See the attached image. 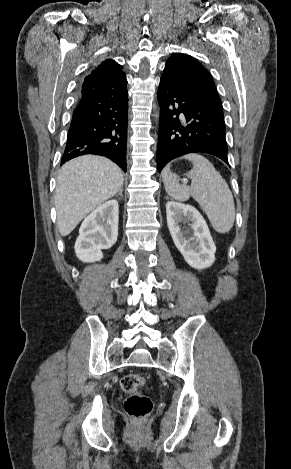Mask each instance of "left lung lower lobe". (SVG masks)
<instances>
[{
    "label": "left lung lower lobe",
    "mask_w": 291,
    "mask_h": 469,
    "mask_svg": "<svg viewBox=\"0 0 291 469\" xmlns=\"http://www.w3.org/2000/svg\"><path fill=\"white\" fill-rule=\"evenodd\" d=\"M157 168L188 153H209L228 164L223 108L161 77ZM183 114L181 120L179 115Z\"/></svg>",
    "instance_id": "left-lung-lower-lobe-1"
}]
</instances>
